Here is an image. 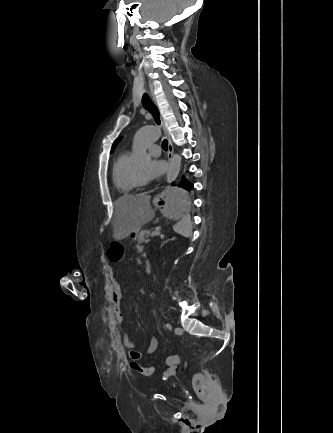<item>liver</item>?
I'll list each match as a JSON object with an SVG mask.
<instances>
[{"mask_svg":"<svg viewBox=\"0 0 333 433\" xmlns=\"http://www.w3.org/2000/svg\"><path fill=\"white\" fill-rule=\"evenodd\" d=\"M155 212L150 197L145 193L124 195L115 201L113 238L122 240L132 232L138 233L142 226L153 220Z\"/></svg>","mask_w":333,"mask_h":433,"instance_id":"6515ba94","label":"liver"}]
</instances>
